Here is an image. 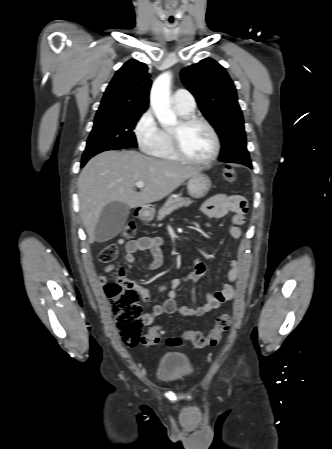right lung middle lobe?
<instances>
[{
  "instance_id": "1",
  "label": "right lung middle lobe",
  "mask_w": 332,
  "mask_h": 449,
  "mask_svg": "<svg viewBox=\"0 0 332 449\" xmlns=\"http://www.w3.org/2000/svg\"><path fill=\"white\" fill-rule=\"evenodd\" d=\"M142 113L96 115L82 159L107 150L136 148L133 132Z\"/></svg>"
}]
</instances>
